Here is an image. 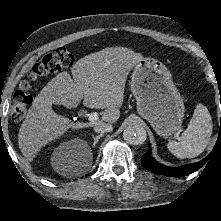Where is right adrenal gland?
<instances>
[{
	"label": "right adrenal gland",
	"mask_w": 221,
	"mask_h": 221,
	"mask_svg": "<svg viewBox=\"0 0 221 221\" xmlns=\"http://www.w3.org/2000/svg\"><path fill=\"white\" fill-rule=\"evenodd\" d=\"M103 135H104V134H99V135H97V136L92 135V138L94 139L93 147L96 146V144L98 143L99 139H100L101 137H103Z\"/></svg>",
	"instance_id": "right-adrenal-gland-1"
}]
</instances>
